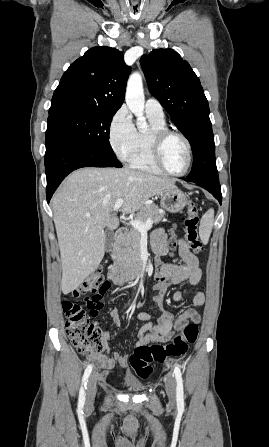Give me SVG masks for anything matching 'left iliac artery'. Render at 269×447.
I'll return each instance as SVG.
<instances>
[{"label": "left iliac artery", "instance_id": "44dca946", "mask_svg": "<svg viewBox=\"0 0 269 447\" xmlns=\"http://www.w3.org/2000/svg\"><path fill=\"white\" fill-rule=\"evenodd\" d=\"M174 373L176 379L177 406L184 407L183 380L180 368L178 366L175 367Z\"/></svg>", "mask_w": 269, "mask_h": 447}]
</instances>
